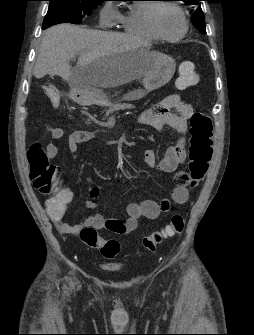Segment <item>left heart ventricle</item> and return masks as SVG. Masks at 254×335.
Here are the masks:
<instances>
[{
    "instance_id": "b2bd125f",
    "label": "left heart ventricle",
    "mask_w": 254,
    "mask_h": 335,
    "mask_svg": "<svg viewBox=\"0 0 254 335\" xmlns=\"http://www.w3.org/2000/svg\"><path fill=\"white\" fill-rule=\"evenodd\" d=\"M160 31L167 36H175L183 29V21L179 13L171 7H162L157 14Z\"/></svg>"
}]
</instances>
